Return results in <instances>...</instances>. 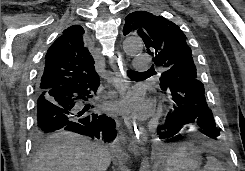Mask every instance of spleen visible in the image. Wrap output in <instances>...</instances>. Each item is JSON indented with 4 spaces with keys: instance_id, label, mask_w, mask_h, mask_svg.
Wrapping results in <instances>:
<instances>
[{
    "instance_id": "3e777b00",
    "label": "spleen",
    "mask_w": 245,
    "mask_h": 171,
    "mask_svg": "<svg viewBox=\"0 0 245 171\" xmlns=\"http://www.w3.org/2000/svg\"><path fill=\"white\" fill-rule=\"evenodd\" d=\"M201 171H224V168L216 158L208 156L206 165Z\"/></svg>"
}]
</instances>
